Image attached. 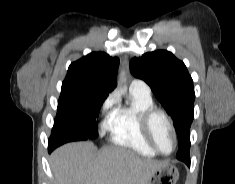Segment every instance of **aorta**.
I'll list each match as a JSON object with an SVG mask.
<instances>
[{"instance_id":"obj_1","label":"aorta","mask_w":235,"mask_h":184,"mask_svg":"<svg viewBox=\"0 0 235 184\" xmlns=\"http://www.w3.org/2000/svg\"><path fill=\"white\" fill-rule=\"evenodd\" d=\"M121 78H123V80H124V74H121Z\"/></svg>"}]
</instances>
